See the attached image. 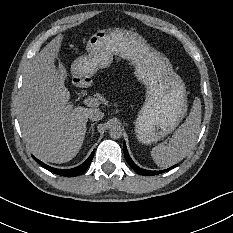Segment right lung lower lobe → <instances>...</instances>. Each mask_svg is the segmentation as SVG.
Here are the masks:
<instances>
[{"label": "right lung lower lobe", "mask_w": 233, "mask_h": 233, "mask_svg": "<svg viewBox=\"0 0 233 233\" xmlns=\"http://www.w3.org/2000/svg\"><path fill=\"white\" fill-rule=\"evenodd\" d=\"M93 151L91 153V155L89 156V158L81 165H79L78 167H75L73 169H56L53 167H50L46 164H44L43 162L39 161L38 159H36L34 156H32L39 164H41L43 167H45L46 169L50 170L51 172L58 174V175H62V176H66V177H74L77 175L82 174L83 172L86 171L87 167L89 166L90 162L93 159V155H94Z\"/></svg>", "instance_id": "obj_1"}]
</instances>
